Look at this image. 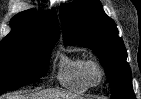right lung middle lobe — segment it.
<instances>
[{
    "label": "right lung middle lobe",
    "mask_w": 141,
    "mask_h": 99,
    "mask_svg": "<svg viewBox=\"0 0 141 99\" xmlns=\"http://www.w3.org/2000/svg\"><path fill=\"white\" fill-rule=\"evenodd\" d=\"M54 44L3 39L0 43V95L44 76Z\"/></svg>",
    "instance_id": "1"
}]
</instances>
